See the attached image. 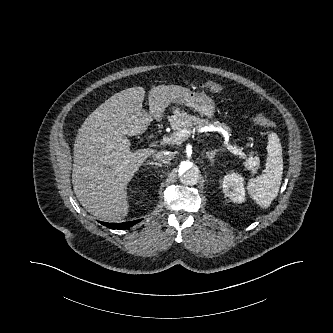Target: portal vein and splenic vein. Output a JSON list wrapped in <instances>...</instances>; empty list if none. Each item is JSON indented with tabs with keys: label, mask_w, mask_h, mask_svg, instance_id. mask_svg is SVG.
<instances>
[{
	"label": "portal vein and splenic vein",
	"mask_w": 333,
	"mask_h": 333,
	"mask_svg": "<svg viewBox=\"0 0 333 333\" xmlns=\"http://www.w3.org/2000/svg\"><path fill=\"white\" fill-rule=\"evenodd\" d=\"M188 134H190V131L187 129H183L180 132H177L170 138H164L162 143H168V144H181V140L184 139ZM227 149L232 152L235 155L239 156H246V154L242 151V149L237 148L236 146H232L230 144H227Z\"/></svg>",
	"instance_id": "1"
}]
</instances>
